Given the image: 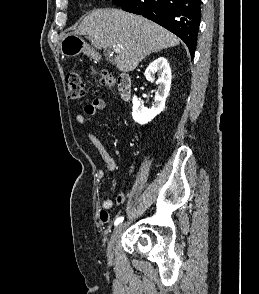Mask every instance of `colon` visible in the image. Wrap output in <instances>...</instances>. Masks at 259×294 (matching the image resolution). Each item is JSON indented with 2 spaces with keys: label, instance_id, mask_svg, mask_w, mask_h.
Returning a JSON list of instances; mask_svg holds the SVG:
<instances>
[{
  "label": "colon",
  "instance_id": "5ec220e1",
  "mask_svg": "<svg viewBox=\"0 0 259 294\" xmlns=\"http://www.w3.org/2000/svg\"><path fill=\"white\" fill-rule=\"evenodd\" d=\"M100 83L105 86H111L114 83L113 76L107 71L94 72ZM67 93L70 99L80 101L85 94V84L81 74L78 71H70L66 76Z\"/></svg>",
  "mask_w": 259,
  "mask_h": 294
}]
</instances>
